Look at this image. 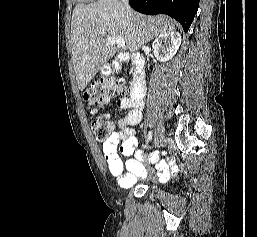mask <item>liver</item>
Returning <instances> with one entry per match:
<instances>
[{
	"label": "liver",
	"instance_id": "6515ba94",
	"mask_svg": "<svg viewBox=\"0 0 257 237\" xmlns=\"http://www.w3.org/2000/svg\"><path fill=\"white\" fill-rule=\"evenodd\" d=\"M174 30L170 18L128 12L120 0L78 3L72 14L71 44L79 90L83 91L99 69L114 56L115 44L106 36L123 39L126 48L134 53L152 39Z\"/></svg>",
	"mask_w": 257,
	"mask_h": 237
}]
</instances>
